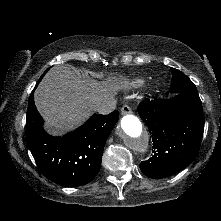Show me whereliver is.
Returning a JSON list of instances; mask_svg holds the SVG:
<instances>
[{
  "label": "liver",
  "instance_id": "6515ba94",
  "mask_svg": "<svg viewBox=\"0 0 221 221\" xmlns=\"http://www.w3.org/2000/svg\"><path fill=\"white\" fill-rule=\"evenodd\" d=\"M128 87L123 78L98 82L69 66L53 67L35 91V105L52 134L81 125L103 102Z\"/></svg>",
  "mask_w": 221,
  "mask_h": 221
}]
</instances>
